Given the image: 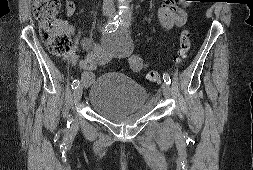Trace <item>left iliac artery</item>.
I'll return each mask as SVG.
<instances>
[{
	"label": "left iliac artery",
	"mask_w": 253,
	"mask_h": 170,
	"mask_svg": "<svg viewBox=\"0 0 253 170\" xmlns=\"http://www.w3.org/2000/svg\"><path fill=\"white\" fill-rule=\"evenodd\" d=\"M131 24V14H127L121 18V25L125 27H129ZM164 82L167 84H171V79L168 73L163 74Z\"/></svg>",
	"instance_id": "1"
}]
</instances>
